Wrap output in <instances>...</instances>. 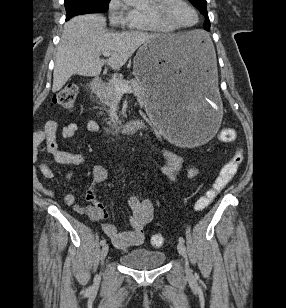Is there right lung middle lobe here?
<instances>
[{"instance_id":"right-lung-middle-lobe-1","label":"right lung middle lobe","mask_w":286,"mask_h":308,"mask_svg":"<svg viewBox=\"0 0 286 308\" xmlns=\"http://www.w3.org/2000/svg\"><path fill=\"white\" fill-rule=\"evenodd\" d=\"M110 0H65L66 20L79 14L106 12Z\"/></svg>"}]
</instances>
